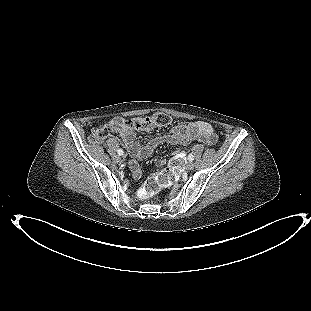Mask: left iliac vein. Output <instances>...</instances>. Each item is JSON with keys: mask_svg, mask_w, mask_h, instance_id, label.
<instances>
[{"mask_svg": "<svg viewBox=\"0 0 311 311\" xmlns=\"http://www.w3.org/2000/svg\"><path fill=\"white\" fill-rule=\"evenodd\" d=\"M193 168H194V164H193L192 162H189V163L185 166V169H186L187 171H191V170H193Z\"/></svg>", "mask_w": 311, "mask_h": 311, "instance_id": "1", "label": "left iliac vein"}]
</instances>
